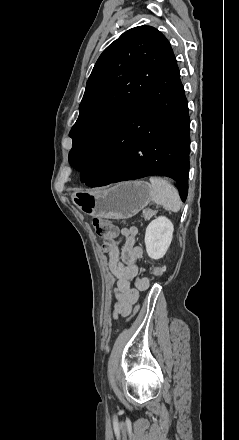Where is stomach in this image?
<instances>
[{"label":"stomach","mask_w":239,"mask_h":440,"mask_svg":"<svg viewBox=\"0 0 239 440\" xmlns=\"http://www.w3.org/2000/svg\"><path fill=\"white\" fill-rule=\"evenodd\" d=\"M153 188L147 182H120L112 188L75 192L74 204L93 218L127 220L152 202Z\"/></svg>","instance_id":"0dacf381"}]
</instances>
